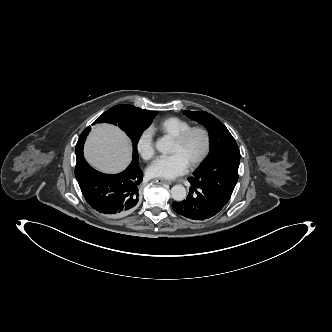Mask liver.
<instances>
[{
    "label": "liver",
    "instance_id": "1",
    "mask_svg": "<svg viewBox=\"0 0 332 332\" xmlns=\"http://www.w3.org/2000/svg\"><path fill=\"white\" fill-rule=\"evenodd\" d=\"M84 156L97 170L114 174L129 165L131 146L127 136L117 126L100 124L88 135Z\"/></svg>",
    "mask_w": 332,
    "mask_h": 332
}]
</instances>
